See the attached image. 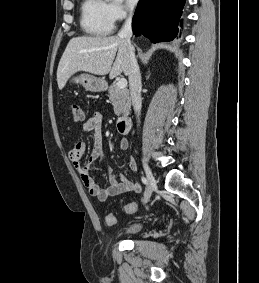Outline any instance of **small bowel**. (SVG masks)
Instances as JSON below:
<instances>
[{
    "mask_svg": "<svg viewBox=\"0 0 259 283\" xmlns=\"http://www.w3.org/2000/svg\"><path fill=\"white\" fill-rule=\"evenodd\" d=\"M82 128L84 132H91L93 134L92 150L86 162L81 163L82 156L86 150V143L83 140H79L69 150L68 157L76 168L82 183L88 189L89 194L99 201L104 202L123 193H140L142 186L138 182H133L125 175L116 173L105 164L103 158L102 117L100 113L96 112L87 118ZM119 148L123 151L128 149L127 139H121L119 141ZM96 161H100L106 171L109 186L105 189L99 187L90 172V166ZM127 165L132 171H135L137 168L135 159L130 155L127 157Z\"/></svg>",
    "mask_w": 259,
    "mask_h": 283,
    "instance_id": "1",
    "label": "small bowel"
}]
</instances>
